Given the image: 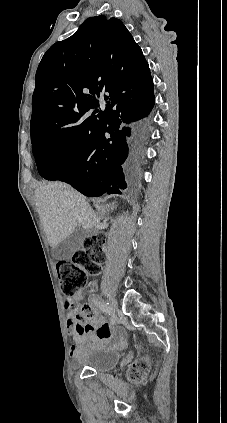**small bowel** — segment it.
I'll list each match as a JSON object with an SVG mask.
<instances>
[{
  "instance_id": "obj_1",
  "label": "small bowel",
  "mask_w": 227,
  "mask_h": 423,
  "mask_svg": "<svg viewBox=\"0 0 227 423\" xmlns=\"http://www.w3.org/2000/svg\"><path fill=\"white\" fill-rule=\"evenodd\" d=\"M85 313L69 314L67 325L70 328L73 344L70 346V355L79 357L88 350L103 346L121 347L124 345V331L112 327L102 317L88 308Z\"/></svg>"
}]
</instances>
